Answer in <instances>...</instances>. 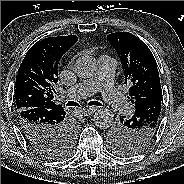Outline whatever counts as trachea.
<instances>
[{
	"label": "trachea",
	"instance_id": "1",
	"mask_svg": "<svg viewBox=\"0 0 184 184\" xmlns=\"http://www.w3.org/2000/svg\"><path fill=\"white\" fill-rule=\"evenodd\" d=\"M66 105L67 106H79V104L77 102H74V101H68ZM89 105H91V106H93V105L94 106H100L101 103L98 102V101H90Z\"/></svg>",
	"mask_w": 184,
	"mask_h": 184
}]
</instances>
